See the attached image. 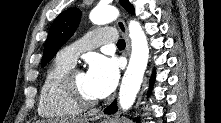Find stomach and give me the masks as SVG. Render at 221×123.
I'll list each match as a JSON object with an SVG mask.
<instances>
[{
    "mask_svg": "<svg viewBox=\"0 0 221 123\" xmlns=\"http://www.w3.org/2000/svg\"><path fill=\"white\" fill-rule=\"evenodd\" d=\"M101 123H118V122L114 119H104V120H102Z\"/></svg>",
    "mask_w": 221,
    "mask_h": 123,
    "instance_id": "0dacf381",
    "label": "stomach"
}]
</instances>
